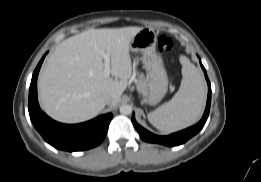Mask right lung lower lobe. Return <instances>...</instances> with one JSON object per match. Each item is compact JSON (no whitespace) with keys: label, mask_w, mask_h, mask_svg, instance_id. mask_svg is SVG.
<instances>
[{"label":"right lung lower lobe","mask_w":261,"mask_h":182,"mask_svg":"<svg viewBox=\"0 0 261 182\" xmlns=\"http://www.w3.org/2000/svg\"><path fill=\"white\" fill-rule=\"evenodd\" d=\"M45 55L37 65L30 84L28 110L30 119L43 139L53 147L65 151H82L99 145L108 130L113 115H101L81 124H61L49 118L39 107L37 77Z\"/></svg>","instance_id":"1"}]
</instances>
